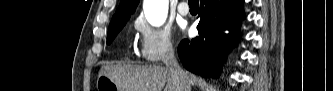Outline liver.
I'll use <instances>...</instances> for the list:
<instances>
[{"label":"liver","mask_w":333,"mask_h":91,"mask_svg":"<svg viewBox=\"0 0 333 91\" xmlns=\"http://www.w3.org/2000/svg\"><path fill=\"white\" fill-rule=\"evenodd\" d=\"M184 73L190 84L188 72ZM99 75L108 76L122 91H162L164 87V91H179L169 69L160 65L107 64L101 67Z\"/></svg>","instance_id":"6515ba94"}]
</instances>
